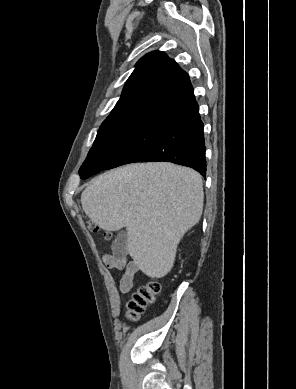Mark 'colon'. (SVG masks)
Masks as SVG:
<instances>
[{
	"instance_id": "obj_1",
	"label": "colon",
	"mask_w": 296,
	"mask_h": 389,
	"mask_svg": "<svg viewBox=\"0 0 296 389\" xmlns=\"http://www.w3.org/2000/svg\"><path fill=\"white\" fill-rule=\"evenodd\" d=\"M90 228L94 232L98 230V227L94 224H91ZM105 238L108 240L111 239L112 234L106 232ZM160 291L161 285L157 280H151L140 285L128 301V318L132 321L137 320L140 314H142L145 309L155 301Z\"/></svg>"
}]
</instances>
